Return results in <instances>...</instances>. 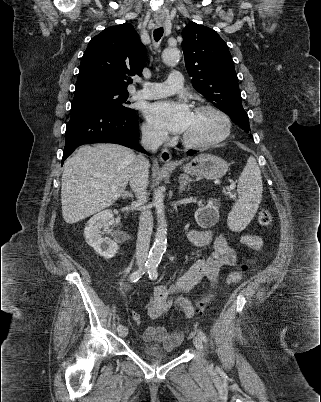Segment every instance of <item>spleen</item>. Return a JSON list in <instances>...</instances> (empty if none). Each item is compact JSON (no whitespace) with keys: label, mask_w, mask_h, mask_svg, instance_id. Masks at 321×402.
<instances>
[{"label":"spleen","mask_w":321,"mask_h":402,"mask_svg":"<svg viewBox=\"0 0 321 402\" xmlns=\"http://www.w3.org/2000/svg\"><path fill=\"white\" fill-rule=\"evenodd\" d=\"M262 191L260 168L256 159L250 156L238 179L239 199L228 215L227 223L232 231H241L250 223L261 202Z\"/></svg>","instance_id":"1"}]
</instances>
